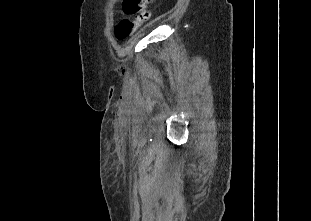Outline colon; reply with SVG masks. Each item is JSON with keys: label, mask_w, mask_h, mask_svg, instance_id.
Instances as JSON below:
<instances>
[{"label": "colon", "mask_w": 311, "mask_h": 221, "mask_svg": "<svg viewBox=\"0 0 311 221\" xmlns=\"http://www.w3.org/2000/svg\"><path fill=\"white\" fill-rule=\"evenodd\" d=\"M150 0H124V12L128 16L134 15V19L130 21H119L114 29L115 36L123 39L131 34L137 27L147 23L151 17V13L147 8ZM118 17V13H116Z\"/></svg>", "instance_id": "5ec220e1"}]
</instances>
